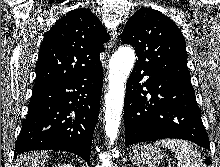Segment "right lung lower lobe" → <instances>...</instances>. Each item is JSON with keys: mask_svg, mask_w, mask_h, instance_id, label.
Returning a JSON list of instances; mask_svg holds the SVG:
<instances>
[{"mask_svg": "<svg viewBox=\"0 0 220 167\" xmlns=\"http://www.w3.org/2000/svg\"><path fill=\"white\" fill-rule=\"evenodd\" d=\"M103 85L102 65L83 75L33 89L15 156L32 150H62L90 164Z\"/></svg>", "mask_w": 220, "mask_h": 167, "instance_id": "obj_1", "label": "right lung lower lobe"}]
</instances>
